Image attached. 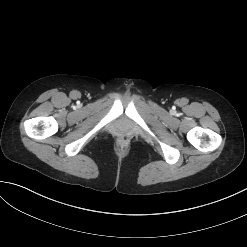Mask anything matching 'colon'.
I'll use <instances>...</instances> for the list:
<instances>
[{"label": "colon", "mask_w": 247, "mask_h": 247, "mask_svg": "<svg viewBox=\"0 0 247 247\" xmlns=\"http://www.w3.org/2000/svg\"><path fill=\"white\" fill-rule=\"evenodd\" d=\"M121 139H122V140H127V139H128V136H127V135H122V136H121Z\"/></svg>", "instance_id": "1"}]
</instances>
